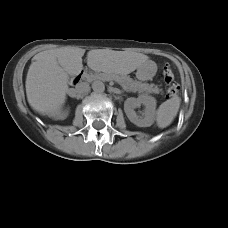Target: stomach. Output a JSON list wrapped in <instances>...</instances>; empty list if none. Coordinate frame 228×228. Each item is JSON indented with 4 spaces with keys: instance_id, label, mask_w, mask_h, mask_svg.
<instances>
[{
    "instance_id": "obj_1",
    "label": "stomach",
    "mask_w": 228,
    "mask_h": 228,
    "mask_svg": "<svg viewBox=\"0 0 228 228\" xmlns=\"http://www.w3.org/2000/svg\"><path fill=\"white\" fill-rule=\"evenodd\" d=\"M155 73V66L152 63H146L137 69L136 76L141 81H148L154 77Z\"/></svg>"
}]
</instances>
